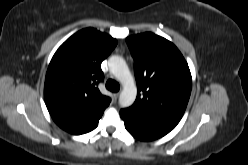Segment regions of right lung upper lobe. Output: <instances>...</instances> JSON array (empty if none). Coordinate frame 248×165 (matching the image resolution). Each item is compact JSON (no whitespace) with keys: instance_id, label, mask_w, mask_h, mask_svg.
<instances>
[{"instance_id":"1","label":"right lung upper lobe","mask_w":248,"mask_h":165,"mask_svg":"<svg viewBox=\"0 0 248 165\" xmlns=\"http://www.w3.org/2000/svg\"><path fill=\"white\" fill-rule=\"evenodd\" d=\"M116 44L110 35L86 28L54 54L45 78L44 98L52 119L63 130L80 135L98 124L111 101L98 89L104 78L101 63Z\"/></svg>"}]
</instances>
